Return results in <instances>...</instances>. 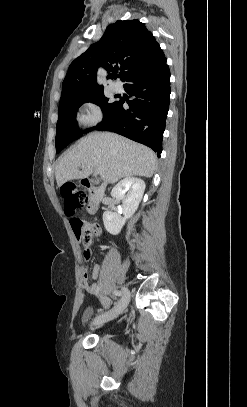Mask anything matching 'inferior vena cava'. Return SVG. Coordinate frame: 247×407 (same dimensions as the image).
<instances>
[{
  "label": "inferior vena cava",
  "instance_id": "inferior-vena-cava-1",
  "mask_svg": "<svg viewBox=\"0 0 247 407\" xmlns=\"http://www.w3.org/2000/svg\"><path fill=\"white\" fill-rule=\"evenodd\" d=\"M105 188H106V182H104V183L101 185L100 189H99L100 195H103V194H104Z\"/></svg>",
  "mask_w": 247,
  "mask_h": 407
}]
</instances>
